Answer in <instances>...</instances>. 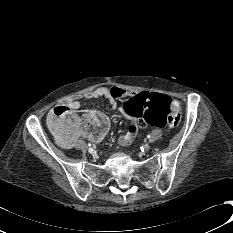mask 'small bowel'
<instances>
[{
	"mask_svg": "<svg viewBox=\"0 0 233 233\" xmlns=\"http://www.w3.org/2000/svg\"><path fill=\"white\" fill-rule=\"evenodd\" d=\"M141 93V92H140ZM148 93V92H146ZM139 93H129L119 87H100L90 92L84 94V98L87 100H93L97 98H105L110 103L113 109H117L120 112V105L119 102L125 98L134 97ZM150 94V93H148ZM65 105L68 106L71 112H76L80 109L81 103L77 99H68L65 102ZM121 113V112H120ZM51 114V113H50ZM129 127L127 131L119 137V143L121 145H129L131 144L135 138L137 137L139 131V119L140 118H129ZM105 135V132H98V133H86V132H79L72 135H62L56 136L57 143L63 148H71L74 142L82 136H87L92 142L97 143L100 142Z\"/></svg>",
	"mask_w": 233,
	"mask_h": 233,
	"instance_id": "c3829d8e",
	"label": "small bowel"
}]
</instances>
